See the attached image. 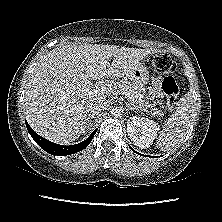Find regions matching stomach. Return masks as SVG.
Returning <instances> with one entry per match:
<instances>
[{
    "label": "stomach",
    "instance_id": "1",
    "mask_svg": "<svg viewBox=\"0 0 222 222\" xmlns=\"http://www.w3.org/2000/svg\"><path fill=\"white\" fill-rule=\"evenodd\" d=\"M125 78L132 81L136 86L142 87L148 83L149 71L142 63H138L125 75Z\"/></svg>",
    "mask_w": 222,
    "mask_h": 222
}]
</instances>
